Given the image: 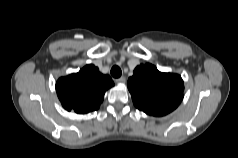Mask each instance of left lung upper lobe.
Here are the masks:
<instances>
[{"label":"left lung upper lobe","mask_w":238,"mask_h":158,"mask_svg":"<svg viewBox=\"0 0 238 158\" xmlns=\"http://www.w3.org/2000/svg\"><path fill=\"white\" fill-rule=\"evenodd\" d=\"M136 108L153 116H164L183 99V80L178 74L162 73L152 64H141L128 79Z\"/></svg>","instance_id":"1"}]
</instances>
